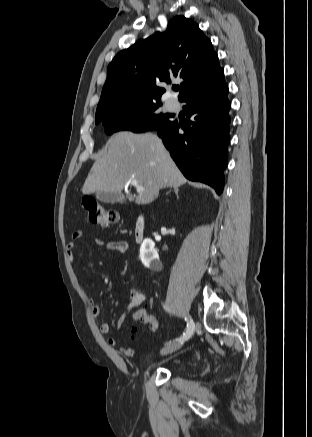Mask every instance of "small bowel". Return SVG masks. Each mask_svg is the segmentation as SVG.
Wrapping results in <instances>:
<instances>
[{
  "label": "small bowel",
  "mask_w": 312,
  "mask_h": 437,
  "mask_svg": "<svg viewBox=\"0 0 312 437\" xmlns=\"http://www.w3.org/2000/svg\"><path fill=\"white\" fill-rule=\"evenodd\" d=\"M83 232L82 231H76L72 235V240L67 243L66 245V253L68 258L71 261L75 260V252L74 248L76 245V241L82 238ZM95 244L100 247H105L109 251L117 252V253H125L128 249V242L125 240H115L110 242H105L103 239H96ZM146 300V296L143 292L139 291L138 289L132 288L129 291V299L124 307V311L122 315L117 320L116 326L119 328L122 326V324L127 319L128 315L138 306L142 305ZM91 306V311L94 316H98L101 311L100 305L94 300L90 299L89 301ZM99 331L101 334L106 335L110 331V325L107 322L102 323L99 326ZM107 343L112 346L116 347L118 345L117 340L114 337H108ZM120 350L122 353H124L127 356H133L134 350L129 347H120Z\"/></svg>",
  "instance_id": "obj_1"
}]
</instances>
